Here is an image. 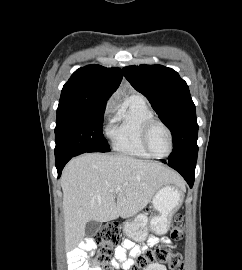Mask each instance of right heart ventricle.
<instances>
[{
	"label": "right heart ventricle",
	"instance_id": "1",
	"mask_svg": "<svg viewBox=\"0 0 242 270\" xmlns=\"http://www.w3.org/2000/svg\"><path fill=\"white\" fill-rule=\"evenodd\" d=\"M153 112L139 95L127 98L118 108L108 133L113 148L122 154L148 159L141 133L144 123L153 118Z\"/></svg>",
	"mask_w": 242,
	"mask_h": 270
}]
</instances>
